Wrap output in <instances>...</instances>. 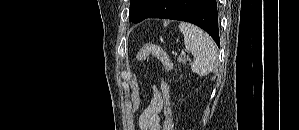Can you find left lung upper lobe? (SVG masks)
Returning a JSON list of instances; mask_svg holds the SVG:
<instances>
[{"label": "left lung upper lobe", "mask_w": 299, "mask_h": 130, "mask_svg": "<svg viewBox=\"0 0 299 130\" xmlns=\"http://www.w3.org/2000/svg\"><path fill=\"white\" fill-rule=\"evenodd\" d=\"M149 0H131L129 19L133 23L140 22L149 10Z\"/></svg>", "instance_id": "obj_1"}]
</instances>
